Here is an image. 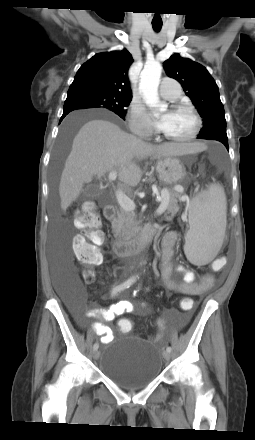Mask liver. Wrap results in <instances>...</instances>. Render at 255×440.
Returning <instances> with one entry per match:
<instances>
[{"mask_svg":"<svg viewBox=\"0 0 255 440\" xmlns=\"http://www.w3.org/2000/svg\"><path fill=\"white\" fill-rule=\"evenodd\" d=\"M205 149L203 143H165L151 145L102 119L86 122L73 139L59 184L61 209L66 211L82 191L84 183L94 176L118 170V178L127 186L135 187L142 171L136 161L153 157L183 156Z\"/></svg>","mask_w":255,"mask_h":440,"instance_id":"1","label":"liver"}]
</instances>
